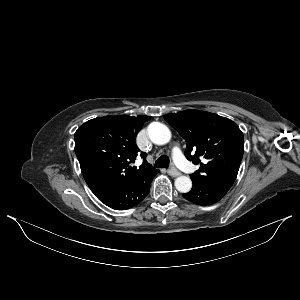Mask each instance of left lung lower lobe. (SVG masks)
I'll return each mask as SVG.
<instances>
[{
    "mask_svg": "<svg viewBox=\"0 0 300 300\" xmlns=\"http://www.w3.org/2000/svg\"><path fill=\"white\" fill-rule=\"evenodd\" d=\"M226 193L227 191L225 190L193 182V188L191 191L183 194L182 196L194 204L206 206L219 201Z\"/></svg>",
    "mask_w": 300,
    "mask_h": 300,
    "instance_id": "left-lung-lower-lobe-1",
    "label": "left lung lower lobe"
}]
</instances>
